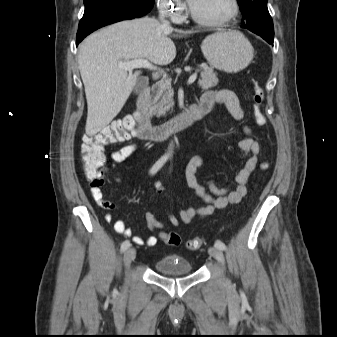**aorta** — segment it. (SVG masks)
<instances>
[{
	"label": "aorta",
	"mask_w": 337,
	"mask_h": 337,
	"mask_svg": "<svg viewBox=\"0 0 337 337\" xmlns=\"http://www.w3.org/2000/svg\"><path fill=\"white\" fill-rule=\"evenodd\" d=\"M173 154V143H171L169 145V148H168V152H167V155L168 156H171Z\"/></svg>",
	"instance_id": "obj_1"
}]
</instances>
